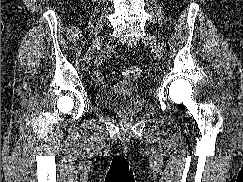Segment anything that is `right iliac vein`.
<instances>
[{
  "mask_svg": "<svg viewBox=\"0 0 243 182\" xmlns=\"http://www.w3.org/2000/svg\"><path fill=\"white\" fill-rule=\"evenodd\" d=\"M104 37L103 36H97L93 43L91 44V46L88 48L85 56H84V61L86 63H88L90 61V59L92 58L93 54L95 53L96 49L98 48V46L101 44V42L103 41Z\"/></svg>",
  "mask_w": 243,
  "mask_h": 182,
  "instance_id": "obj_1",
  "label": "right iliac vein"
}]
</instances>
